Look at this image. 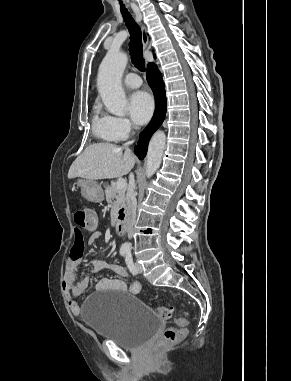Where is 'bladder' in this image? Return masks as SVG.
I'll list each match as a JSON object with an SVG mask.
<instances>
[{
    "label": "bladder",
    "instance_id": "31cf9c89",
    "mask_svg": "<svg viewBox=\"0 0 291 381\" xmlns=\"http://www.w3.org/2000/svg\"><path fill=\"white\" fill-rule=\"evenodd\" d=\"M81 317L98 337L113 340L128 350L142 348L162 325L150 306L127 292L114 297L94 294L85 301Z\"/></svg>",
    "mask_w": 291,
    "mask_h": 381
}]
</instances>
